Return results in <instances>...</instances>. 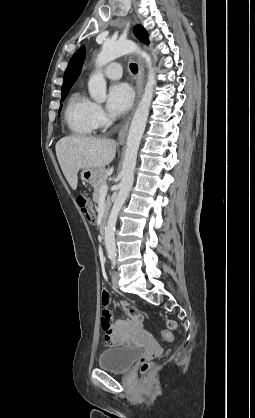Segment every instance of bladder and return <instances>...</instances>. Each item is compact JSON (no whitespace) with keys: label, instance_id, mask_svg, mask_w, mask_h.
<instances>
[{"label":"bladder","instance_id":"1","mask_svg":"<svg viewBox=\"0 0 255 418\" xmlns=\"http://www.w3.org/2000/svg\"><path fill=\"white\" fill-rule=\"evenodd\" d=\"M141 349L134 346H121L103 351L98 357V366L101 369L123 373L141 356Z\"/></svg>","mask_w":255,"mask_h":418}]
</instances>
